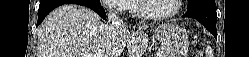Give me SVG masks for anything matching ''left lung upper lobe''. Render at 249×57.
<instances>
[{"label":"left lung upper lobe","instance_id":"1","mask_svg":"<svg viewBox=\"0 0 249 57\" xmlns=\"http://www.w3.org/2000/svg\"><path fill=\"white\" fill-rule=\"evenodd\" d=\"M203 2H215V0H188V9H191Z\"/></svg>","mask_w":249,"mask_h":57}]
</instances>
